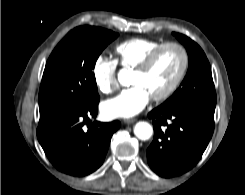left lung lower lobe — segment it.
Masks as SVG:
<instances>
[{
	"mask_svg": "<svg viewBox=\"0 0 245 195\" xmlns=\"http://www.w3.org/2000/svg\"><path fill=\"white\" fill-rule=\"evenodd\" d=\"M214 111L206 108L162 106L153 109L154 139L147 149L150 168L170 178L193 168L214 130Z\"/></svg>",
	"mask_w": 245,
	"mask_h": 195,
	"instance_id": "0a47b994",
	"label": "left lung lower lobe"
}]
</instances>
